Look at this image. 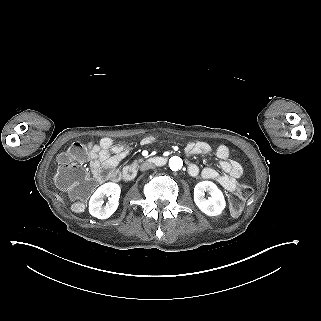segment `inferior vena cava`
Listing matches in <instances>:
<instances>
[{
	"label": "inferior vena cava",
	"mask_w": 321,
	"mask_h": 321,
	"mask_svg": "<svg viewBox=\"0 0 321 321\" xmlns=\"http://www.w3.org/2000/svg\"><path fill=\"white\" fill-rule=\"evenodd\" d=\"M153 168H155V165L151 162H145L140 166L141 171H146L148 169H153Z\"/></svg>",
	"instance_id": "obj_1"
}]
</instances>
